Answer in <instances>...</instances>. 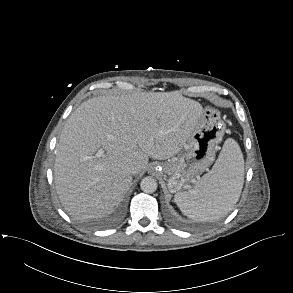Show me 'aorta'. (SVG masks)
Masks as SVG:
<instances>
[{"instance_id":"aorta-1","label":"aorta","mask_w":293,"mask_h":293,"mask_svg":"<svg viewBox=\"0 0 293 293\" xmlns=\"http://www.w3.org/2000/svg\"><path fill=\"white\" fill-rule=\"evenodd\" d=\"M140 188L145 193H153L157 189V181L150 177H144L140 183Z\"/></svg>"}]
</instances>
